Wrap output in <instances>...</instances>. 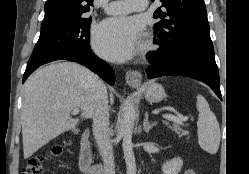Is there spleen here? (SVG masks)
Here are the masks:
<instances>
[{
	"instance_id": "spleen-1",
	"label": "spleen",
	"mask_w": 249,
	"mask_h": 174,
	"mask_svg": "<svg viewBox=\"0 0 249 174\" xmlns=\"http://www.w3.org/2000/svg\"><path fill=\"white\" fill-rule=\"evenodd\" d=\"M196 107L199 112L197 122L198 143L206 152L215 154L218 151L221 137L217 118L202 95H197Z\"/></svg>"
}]
</instances>
